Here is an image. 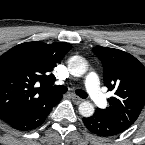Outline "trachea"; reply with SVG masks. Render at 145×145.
I'll return each instance as SVG.
<instances>
[{
  "mask_svg": "<svg viewBox=\"0 0 145 145\" xmlns=\"http://www.w3.org/2000/svg\"><path fill=\"white\" fill-rule=\"evenodd\" d=\"M45 89L49 90V91H52L54 93H57V94H64V93L67 92V87H65V86H53V87L45 86ZM75 92L81 98H87L88 97V94L81 89H78Z\"/></svg>",
  "mask_w": 145,
  "mask_h": 145,
  "instance_id": "obj_1",
  "label": "trachea"
}]
</instances>
